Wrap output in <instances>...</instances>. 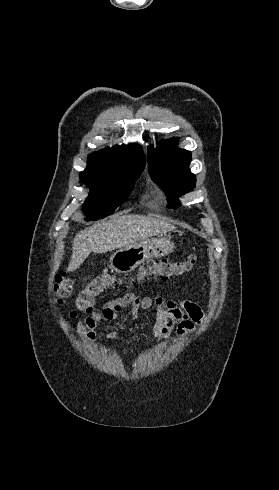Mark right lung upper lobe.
I'll list each match as a JSON object with an SVG mask.
<instances>
[{
  "label": "right lung upper lobe",
  "mask_w": 279,
  "mask_h": 490,
  "mask_svg": "<svg viewBox=\"0 0 279 490\" xmlns=\"http://www.w3.org/2000/svg\"><path fill=\"white\" fill-rule=\"evenodd\" d=\"M145 162V155L140 145L115 146L91 154L87 168L80 176L106 178L127 169H144Z\"/></svg>",
  "instance_id": "right-lung-upper-lobe-1"
}]
</instances>
